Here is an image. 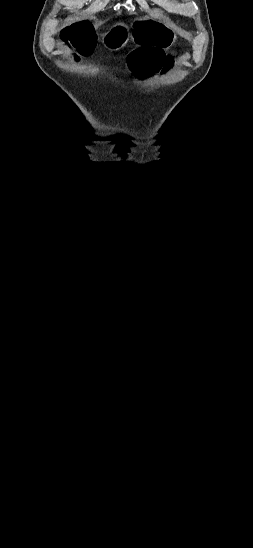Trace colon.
Listing matches in <instances>:
<instances>
[{
  "mask_svg": "<svg viewBox=\"0 0 253 548\" xmlns=\"http://www.w3.org/2000/svg\"><path fill=\"white\" fill-rule=\"evenodd\" d=\"M63 37L78 51L89 50L94 43V35L86 21H78L63 31ZM165 56L163 49H135L127 56V63L131 70L143 72L145 79H154L156 74H166L167 64L172 62L171 56ZM166 60V63L163 61Z\"/></svg>",
  "mask_w": 253,
  "mask_h": 548,
  "instance_id": "colon-1",
  "label": "colon"
}]
</instances>
